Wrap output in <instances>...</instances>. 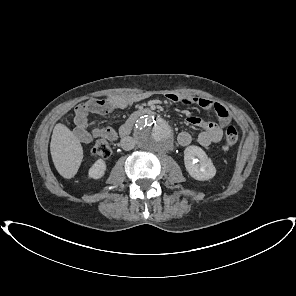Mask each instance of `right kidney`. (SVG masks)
Returning a JSON list of instances; mask_svg holds the SVG:
<instances>
[{
    "label": "right kidney",
    "instance_id": "1",
    "mask_svg": "<svg viewBox=\"0 0 296 296\" xmlns=\"http://www.w3.org/2000/svg\"><path fill=\"white\" fill-rule=\"evenodd\" d=\"M106 164L102 159L97 160L89 169L88 176L93 179H100L104 176Z\"/></svg>",
    "mask_w": 296,
    "mask_h": 296
}]
</instances>
